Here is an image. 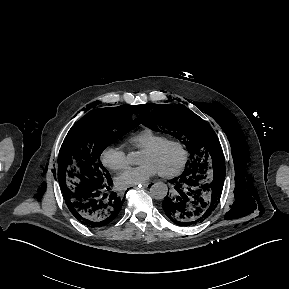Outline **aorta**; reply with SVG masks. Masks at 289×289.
<instances>
[{"instance_id": "762f6f07", "label": "aorta", "mask_w": 289, "mask_h": 289, "mask_svg": "<svg viewBox=\"0 0 289 289\" xmlns=\"http://www.w3.org/2000/svg\"><path fill=\"white\" fill-rule=\"evenodd\" d=\"M128 159L131 164L138 163V152H131L128 154ZM168 193V187L163 182H156L150 188V196L156 200H162Z\"/></svg>"}]
</instances>
